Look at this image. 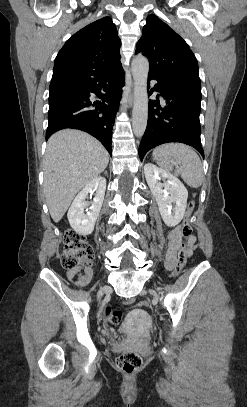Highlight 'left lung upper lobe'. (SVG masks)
<instances>
[{
    "label": "left lung upper lobe",
    "mask_w": 247,
    "mask_h": 407,
    "mask_svg": "<svg viewBox=\"0 0 247 407\" xmlns=\"http://www.w3.org/2000/svg\"><path fill=\"white\" fill-rule=\"evenodd\" d=\"M146 22L135 53L149 59V75L201 86L198 62L188 44L156 15Z\"/></svg>",
    "instance_id": "obj_1"
}]
</instances>
